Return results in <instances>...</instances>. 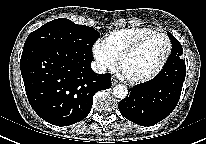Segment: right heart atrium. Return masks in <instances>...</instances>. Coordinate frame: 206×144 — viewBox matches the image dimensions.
Here are the masks:
<instances>
[{
    "label": "right heart atrium",
    "instance_id": "right-heart-atrium-1",
    "mask_svg": "<svg viewBox=\"0 0 206 144\" xmlns=\"http://www.w3.org/2000/svg\"><path fill=\"white\" fill-rule=\"evenodd\" d=\"M92 53L100 68L113 69L117 64V59L106 47L104 41L97 40L92 47Z\"/></svg>",
    "mask_w": 206,
    "mask_h": 144
}]
</instances>
